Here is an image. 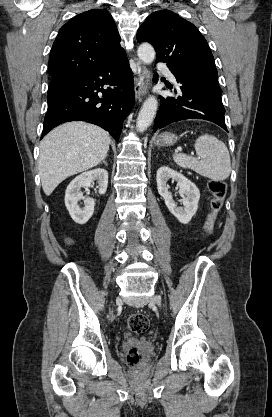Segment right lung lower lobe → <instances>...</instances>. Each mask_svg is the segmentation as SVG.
<instances>
[{
    "instance_id": "98d812e1",
    "label": "right lung lower lobe",
    "mask_w": 272,
    "mask_h": 417,
    "mask_svg": "<svg viewBox=\"0 0 272 417\" xmlns=\"http://www.w3.org/2000/svg\"><path fill=\"white\" fill-rule=\"evenodd\" d=\"M47 99L41 138L61 123L80 120L102 127L118 141L135 102L125 51L95 70L53 78Z\"/></svg>"
}]
</instances>
